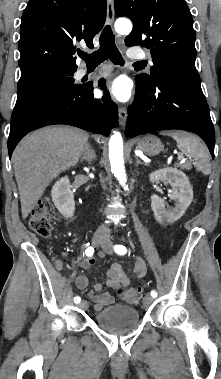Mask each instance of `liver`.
<instances>
[{
  "mask_svg": "<svg viewBox=\"0 0 221 379\" xmlns=\"http://www.w3.org/2000/svg\"><path fill=\"white\" fill-rule=\"evenodd\" d=\"M88 138L78 128L53 126L27 135L17 145L12 161L24 219L50 182L77 164Z\"/></svg>",
  "mask_w": 221,
  "mask_h": 379,
  "instance_id": "1",
  "label": "liver"
}]
</instances>
